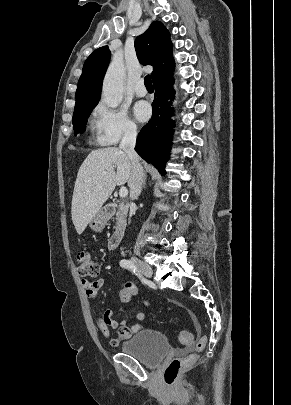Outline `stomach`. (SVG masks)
Listing matches in <instances>:
<instances>
[{
    "label": "stomach",
    "mask_w": 291,
    "mask_h": 405,
    "mask_svg": "<svg viewBox=\"0 0 291 405\" xmlns=\"http://www.w3.org/2000/svg\"><path fill=\"white\" fill-rule=\"evenodd\" d=\"M109 218L110 213L105 209H100L89 222V226L93 231L99 232L103 230Z\"/></svg>",
    "instance_id": "1"
}]
</instances>
